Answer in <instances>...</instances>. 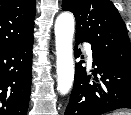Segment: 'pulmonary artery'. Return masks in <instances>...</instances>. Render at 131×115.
<instances>
[{"mask_svg": "<svg viewBox=\"0 0 131 115\" xmlns=\"http://www.w3.org/2000/svg\"><path fill=\"white\" fill-rule=\"evenodd\" d=\"M87 55H88V59L90 62L93 61V58H92V51L90 49H87Z\"/></svg>", "mask_w": 131, "mask_h": 115, "instance_id": "1", "label": "pulmonary artery"}]
</instances>
